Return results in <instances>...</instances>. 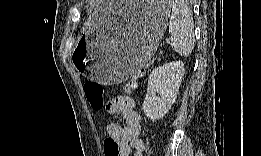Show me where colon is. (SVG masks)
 Masks as SVG:
<instances>
[{"label":"colon","mask_w":261,"mask_h":156,"mask_svg":"<svg viewBox=\"0 0 261 156\" xmlns=\"http://www.w3.org/2000/svg\"><path fill=\"white\" fill-rule=\"evenodd\" d=\"M142 75L140 71L126 86V91H131L136 86V79ZM84 93L91 106L95 111H100L104 107V89L97 82L88 81L84 84ZM104 153L106 156H121L122 151L117 141L107 137L104 141Z\"/></svg>","instance_id":"colon-1"}]
</instances>
